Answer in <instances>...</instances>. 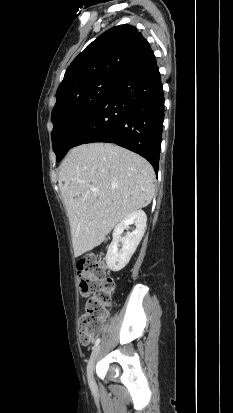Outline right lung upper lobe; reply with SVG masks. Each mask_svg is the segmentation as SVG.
<instances>
[{
  "label": "right lung upper lobe",
  "instance_id": "1",
  "mask_svg": "<svg viewBox=\"0 0 233 413\" xmlns=\"http://www.w3.org/2000/svg\"><path fill=\"white\" fill-rule=\"evenodd\" d=\"M151 50L131 25L115 26L90 43L67 68L56 99L101 77H117Z\"/></svg>",
  "mask_w": 233,
  "mask_h": 413
}]
</instances>
